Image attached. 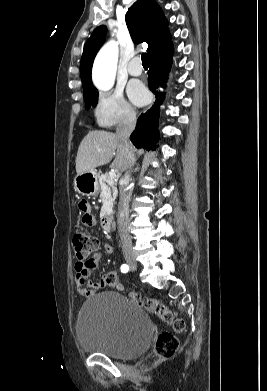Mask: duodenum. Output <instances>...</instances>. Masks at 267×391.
I'll return each instance as SVG.
<instances>
[{
  "instance_id": "obj_1",
  "label": "duodenum",
  "mask_w": 267,
  "mask_h": 391,
  "mask_svg": "<svg viewBox=\"0 0 267 391\" xmlns=\"http://www.w3.org/2000/svg\"><path fill=\"white\" fill-rule=\"evenodd\" d=\"M113 224V215L111 212H106L101 217V226L105 231H110Z\"/></svg>"
}]
</instances>
